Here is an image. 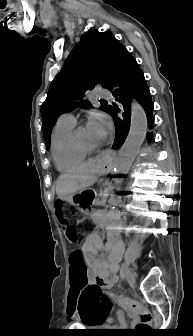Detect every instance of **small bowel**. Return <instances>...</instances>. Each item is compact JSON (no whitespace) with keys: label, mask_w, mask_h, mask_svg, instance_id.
I'll return each instance as SVG.
<instances>
[{"label":"small bowel","mask_w":193,"mask_h":336,"mask_svg":"<svg viewBox=\"0 0 193 336\" xmlns=\"http://www.w3.org/2000/svg\"><path fill=\"white\" fill-rule=\"evenodd\" d=\"M96 220L103 221V216L99 215ZM105 250V251H104ZM83 263L88 266L95 274L96 279L102 282L107 290L111 289L117 282L118 263L122 255V244L118 240H110L103 246L101 236L97 232L88 234L80 248ZM78 290L72 286L69 292V299L75 303V296ZM110 300H117L121 305H125L127 299L122 296L108 294ZM124 318L120 312L118 319Z\"/></svg>","instance_id":"obj_1"}]
</instances>
